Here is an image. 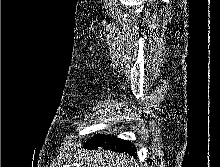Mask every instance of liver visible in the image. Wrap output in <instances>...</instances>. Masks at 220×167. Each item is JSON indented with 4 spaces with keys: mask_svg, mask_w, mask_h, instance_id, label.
I'll use <instances>...</instances> for the list:
<instances>
[{
    "mask_svg": "<svg viewBox=\"0 0 220 167\" xmlns=\"http://www.w3.org/2000/svg\"><path fill=\"white\" fill-rule=\"evenodd\" d=\"M82 167H133V161L123 155L104 150L83 151Z\"/></svg>",
    "mask_w": 220,
    "mask_h": 167,
    "instance_id": "1",
    "label": "liver"
}]
</instances>
